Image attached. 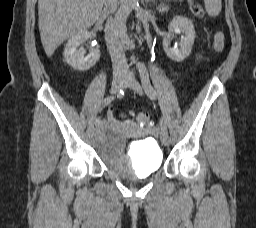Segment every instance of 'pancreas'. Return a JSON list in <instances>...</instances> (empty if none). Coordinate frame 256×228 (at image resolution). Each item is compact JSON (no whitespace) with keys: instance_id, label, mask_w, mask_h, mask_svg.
<instances>
[{"instance_id":"1","label":"pancreas","mask_w":256,"mask_h":228,"mask_svg":"<svg viewBox=\"0 0 256 228\" xmlns=\"http://www.w3.org/2000/svg\"><path fill=\"white\" fill-rule=\"evenodd\" d=\"M166 1H173V2H176V1H180V2H182L183 0H166Z\"/></svg>"}]
</instances>
